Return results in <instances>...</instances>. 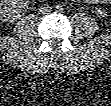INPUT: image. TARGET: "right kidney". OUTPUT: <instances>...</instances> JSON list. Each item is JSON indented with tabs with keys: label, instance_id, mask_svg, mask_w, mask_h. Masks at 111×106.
I'll list each match as a JSON object with an SVG mask.
<instances>
[{
	"label": "right kidney",
	"instance_id": "obj_1",
	"mask_svg": "<svg viewBox=\"0 0 111 106\" xmlns=\"http://www.w3.org/2000/svg\"><path fill=\"white\" fill-rule=\"evenodd\" d=\"M14 4L10 2H2L1 3V15L2 18H5L4 20L14 22L19 15H16V11L14 9Z\"/></svg>",
	"mask_w": 111,
	"mask_h": 106
}]
</instances>
